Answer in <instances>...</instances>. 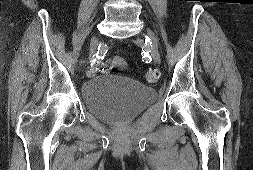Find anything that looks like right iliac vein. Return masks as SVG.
Instances as JSON below:
<instances>
[{"instance_id":"obj_1","label":"right iliac vein","mask_w":253,"mask_h":170,"mask_svg":"<svg viewBox=\"0 0 253 170\" xmlns=\"http://www.w3.org/2000/svg\"><path fill=\"white\" fill-rule=\"evenodd\" d=\"M97 43H98L97 38L93 37L92 40H91V48H90L89 59L93 58V56L96 52Z\"/></svg>"}]
</instances>
